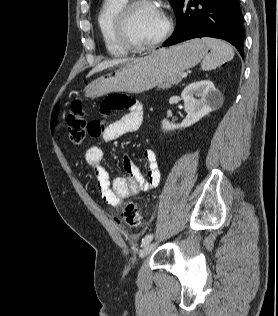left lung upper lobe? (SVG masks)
I'll use <instances>...</instances> for the list:
<instances>
[{"label": "left lung upper lobe", "instance_id": "5c2ea615", "mask_svg": "<svg viewBox=\"0 0 278 316\" xmlns=\"http://www.w3.org/2000/svg\"><path fill=\"white\" fill-rule=\"evenodd\" d=\"M182 1H183V0H169L171 6H172L173 9H174L175 15H177L178 10H179V7H180Z\"/></svg>", "mask_w": 278, "mask_h": 316}]
</instances>
